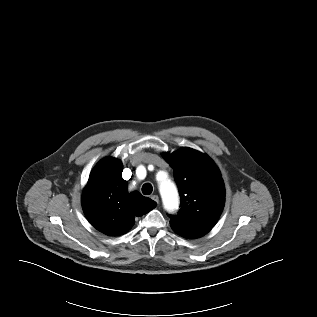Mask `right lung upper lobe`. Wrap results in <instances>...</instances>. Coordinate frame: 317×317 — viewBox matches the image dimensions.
Returning a JSON list of instances; mask_svg holds the SVG:
<instances>
[{
    "instance_id": "right-lung-upper-lobe-1",
    "label": "right lung upper lobe",
    "mask_w": 317,
    "mask_h": 317,
    "mask_svg": "<svg viewBox=\"0 0 317 317\" xmlns=\"http://www.w3.org/2000/svg\"><path fill=\"white\" fill-rule=\"evenodd\" d=\"M123 165L115 158L102 159L93 169L82 196L83 211L99 231L118 236L126 233L156 202L139 192L128 194Z\"/></svg>"
}]
</instances>
